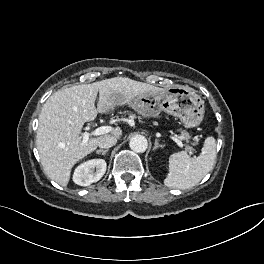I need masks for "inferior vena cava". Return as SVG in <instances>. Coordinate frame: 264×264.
Here are the masks:
<instances>
[{
    "label": "inferior vena cava",
    "mask_w": 264,
    "mask_h": 264,
    "mask_svg": "<svg viewBox=\"0 0 264 264\" xmlns=\"http://www.w3.org/2000/svg\"><path fill=\"white\" fill-rule=\"evenodd\" d=\"M117 143V139L114 136H104L100 139L98 146L100 148H111L112 146H114Z\"/></svg>",
    "instance_id": "602c4592"
}]
</instances>
